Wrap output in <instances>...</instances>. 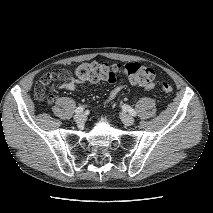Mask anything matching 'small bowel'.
I'll list each match as a JSON object with an SVG mask.
<instances>
[{
	"instance_id": "small-bowel-1",
	"label": "small bowel",
	"mask_w": 213,
	"mask_h": 213,
	"mask_svg": "<svg viewBox=\"0 0 213 213\" xmlns=\"http://www.w3.org/2000/svg\"><path fill=\"white\" fill-rule=\"evenodd\" d=\"M77 83L76 80L72 77H66L63 81L57 85V88L64 89L67 91H74L76 90ZM122 89V86L120 87ZM147 90H152L150 88H146Z\"/></svg>"
}]
</instances>
